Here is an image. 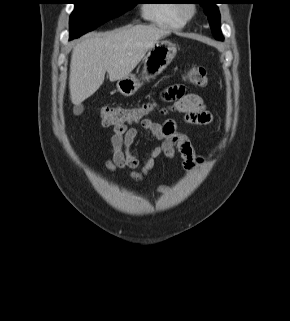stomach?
<instances>
[{"label":"stomach","mask_w":290,"mask_h":321,"mask_svg":"<svg viewBox=\"0 0 290 321\" xmlns=\"http://www.w3.org/2000/svg\"><path fill=\"white\" fill-rule=\"evenodd\" d=\"M177 53L176 46L166 40L157 41L143 59L142 80L154 79L166 69ZM141 79L130 74L117 82L118 91L124 96L133 95L141 86Z\"/></svg>","instance_id":"0dacf381"}]
</instances>
